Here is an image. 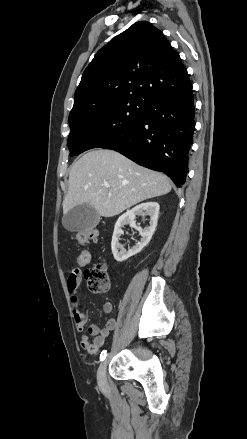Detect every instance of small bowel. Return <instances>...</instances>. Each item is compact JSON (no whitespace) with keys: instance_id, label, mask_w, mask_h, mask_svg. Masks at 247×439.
<instances>
[{"instance_id":"1","label":"small bowel","mask_w":247,"mask_h":439,"mask_svg":"<svg viewBox=\"0 0 247 439\" xmlns=\"http://www.w3.org/2000/svg\"><path fill=\"white\" fill-rule=\"evenodd\" d=\"M81 280L82 271L81 269L75 268L70 272L67 281L68 294L73 310L75 326L79 333H82L85 330L88 321L87 313L80 308L79 304L78 289ZM102 309L105 314H110L113 311V304L110 301H106L104 302ZM115 325L116 321L113 318L108 321L104 328H100L96 324L90 325L88 327L87 334L82 336L80 345L89 353L96 354L105 344L107 337Z\"/></svg>"}]
</instances>
